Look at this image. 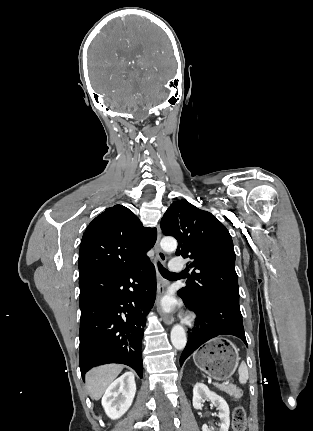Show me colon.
Wrapping results in <instances>:
<instances>
[{"instance_id":"colon-1","label":"colon","mask_w":313,"mask_h":431,"mask_svg":"<svg viewBox=\"0 0 313 431\" xmlns=\"http://www.w3.org/2000/svg\"><path fill=\"white\" fill-rule=\"evenodd\" d=\"M247 417L246 410L243 406L235 407L232 416L233 431H246Z\"/></svg>"}]
</instances>
